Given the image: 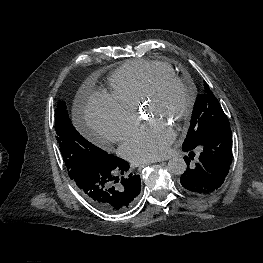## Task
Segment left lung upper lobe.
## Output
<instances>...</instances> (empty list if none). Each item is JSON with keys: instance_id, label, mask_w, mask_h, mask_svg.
I'll return each instance as SVG.
<instances>
[{"instance_id": "1", "label": "left lung upper lobe", "mask_w": 263, "mask_h": 263, "mask_svg": "<svg viewBox=\"0 0 263 263\" xmlns=\"http://www.w3.org/2000/svg\"><path fill=\"white\" fill-rule=\"evenodd\" d=\"M229 125L227 116L209 86L196 98L187 136L182 146H192L217 126Z\"/></svg>"}]
</instances>
